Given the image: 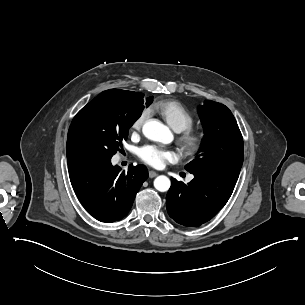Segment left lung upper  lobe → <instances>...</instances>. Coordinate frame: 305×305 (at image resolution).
I'll list each match as a JSON object with an SVG mask.
<instances>
[{
  "instance_id": "1",
  "label": "left lung upper lobe",
  "mask_w": 305,
  "mask_h": 305,
  "mask_svg": "<svg viewBox=\"0 0 305 305\" xmlns=\"http://www.w3.org/2000/svg\"><path fill=\"white\" fill-rule=\"evenodd\" d=\"M198 113L204 128L202 147L186 170L239 175L244 144L233 114L225 105L210 100L198 107Z\"/></svg>"
}]
</instances>
